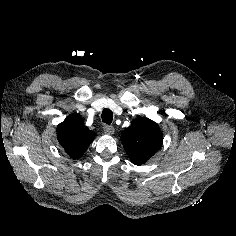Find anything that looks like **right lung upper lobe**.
<instances>
[{"label":"right lung upper lobe","mask_w":236,"mask_h":236,"mask_svg":"<svg viewBox=\"0 0 236 236\" xmlns=\"http://www.w3.org/2000/svg\"><path fill=\"white\" fill-rule=\"evenodd\" d=\"M94 137L95 132L89 130L77 114L70 115L57 126V139L73 159L82 156Z\"/></svg>","instance_id":"obj_1"}]
</instances>
